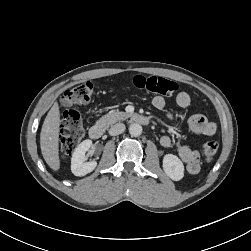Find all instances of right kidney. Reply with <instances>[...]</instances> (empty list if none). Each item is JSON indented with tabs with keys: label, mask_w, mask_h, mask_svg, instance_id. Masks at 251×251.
Instances as JSON below:
<instances>
[{
	"label": "right kidney",
	"mask_w": 251,
	"mask_h": 251,
	"mask_svg": "<svg viewBox=\"0 0 251 251\" xmlns=\"http://www.w3.org/2000/svg\"><path fill=\"white\" fill-rule=\"evenodd\" d=\"M91 146L92 141L90 139H86L74 150L71 158V171L75 176H85L96 168V161L85 162V154Z\"/></svg>",
	"instance_id": "right-kidney-1"
}]
</instances>
